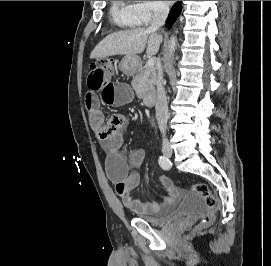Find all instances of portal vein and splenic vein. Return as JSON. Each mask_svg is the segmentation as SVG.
I'll return each mask as SVG.
<instances>
[{
	"instance_id": "18ae733b",
	"label": "portal vein and splenic vein",
	"mask_w": 271,
	"mask_h": 266,
	"mask_svg": "<svg viewBox=\"0 0 271 266\" xmlns=\"http://www.w3.org/2000/svg\"><path fill=\"white\" fill-rule=\"evenodd\" d=\"M154 59L153 58H150L148 61H147V65L150 66V67H153L154 66Z\"/></svg>"
}]
</instances>
